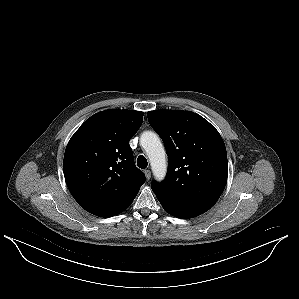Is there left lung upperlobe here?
Wrapping results in <instances>:
<instances>
[{
    "mask_svg": "<svg viewBox=\"0 0 299 299\" xmlns=\"http://www.w3.org/2000/svg\"><path fill=\"white\" fill-rule=\"evenodd\" d=\"M147 116L168 155L167 176L161 183H151L153 192L177 203L213 206L228 175L226 148L219 132L191 111L157 110Z\"/></svg>",
    "mask_w": 299,
    "mask_h": 299,
    "instance_id": "obj_1",
    "label": "left lung upper lobe"
}]
</instances>
